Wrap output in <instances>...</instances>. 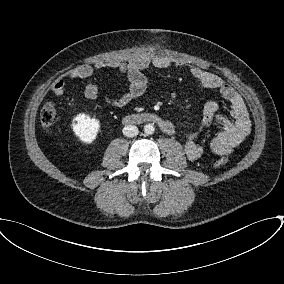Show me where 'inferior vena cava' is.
<instances>
[{
  "mask_svg": "<svg viewBox=\"0 0 284 284\" xmlns=\"http://www.w3.org/2000/svg\"><path fill=\"white\" fill-rule=\"evenodd\" d=\"M139 133L138 128L134 125H127L123 128V134L127 137H134Z\"/></svg>",
  "mask_w": 284,
  "mask_h": 284,
  "instance_id": "obj_1",
  "label": "inferior vena cava"
}]
</instances>
